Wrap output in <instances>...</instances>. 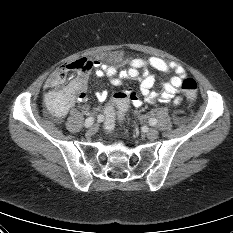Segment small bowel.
Segmentation results:
<instances>
[{
	"label": "small bowel",
	"instance_id": "c3829d8e",
	"mask_svg": "<svg viewBox=\"0 0 233 233\" xmlns=\"http://www.w3.org/2000/svg\"><path fill=\"white\" fill-rule=\"evenodd\" d=\"M92 66L97 68L98 72L106 76L111 84L116 87L121 86L126 79L139 81L142 98L133 89L125 90L129 104L134 107H140L144 102L148 104L155 102L153 87L156 76L148 70L149 67L160 72H173L174 75L170 80L162 84L159 101L161 103L171 101L175 104L180 103V98L176 94L186 76V70L180 64L156 56L149 58L126 57L121 52L114 51L107 54L103 60L96 59L92 61ZM44 87L48 90L45 94L47 110L55 120L60 121L77 102L87 100L88 76L81 81L71 82L64 87L58 88L52 84V76L50 75ZM95 96L99 101H105L108 98V92L101 90L96 92Z\"/></svg>",
	"mask_w": 233,
	"mask_h": 233
}]
</instances>
